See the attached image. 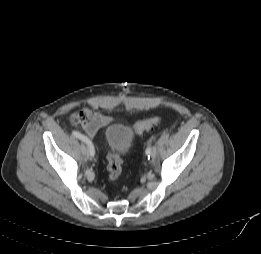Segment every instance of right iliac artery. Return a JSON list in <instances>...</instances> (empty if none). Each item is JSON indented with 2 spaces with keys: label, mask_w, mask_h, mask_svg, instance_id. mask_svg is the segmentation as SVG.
<instances>
[{
  "label": "right iliac artery",
  "mask_w": 261,
  "mask_h": 254,
  "mask_svg": "<svg viewBox=\"0 0 261 254\" xmlns=\"http://www.w3.org/2000/svg\"><path fill=\"white\" fill-rule=\"evenodd\" d=\"M72 135L78 139H80L82 142H84L85 144H87L88 146V150H89V154L91 156H94L95 154V150H94V146L92 144V142L86 137L84 136L83 134H81L80 132L78 131H73L72 132Z\"/></svg>",
  "instance_id": "obj_1"
}]
</instances>
